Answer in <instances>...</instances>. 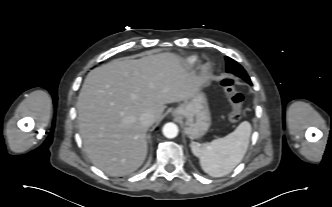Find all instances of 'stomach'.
I'll return each instance as SVG.
<instances>
[{"label": "stomach", "instance_id": "obj_1", "mask_svg": "<svg viewBox=\"0 0 332 207\" xmlns=\"http://www.w3.org/2000/svg\"><path fill=\"white\" fill-rule=\"evenodd\" d=\"M173 116L185 120V133L190 139L203 136L211 124L206 95L200 90L172 112Z\"/></svg>", "mask_w": 332, "mask_h": 207}]
</instances>
